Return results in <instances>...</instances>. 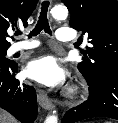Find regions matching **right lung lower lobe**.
<instances>
[{
    "mask_svg": "<svg viewBox=\"0 0 118 123\" xmlns=\"http://www.w3.org/2000/svg\"><path fill=\"white\" fill-rule=\"evenodd\" d=\"M17 64L0 65V107L22 123H32L37 116L36 91L15 79Z\"/></svg>",
    "mask_w": 118,
    "mask_h": 123,
    "instance_id": "right-lung-lower-lobe-1",
    "label": "right lung lower lobe"
}]
</instances>
